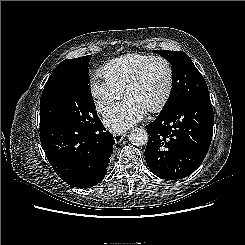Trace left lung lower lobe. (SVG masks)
Instances as JSON below:
<instances>
[{"label": "left lung lower lobe", "instance_id": "left-lung-lower-lobe-1", "mask_svg": "<svg viewBox=\"0 0 245 245\" xmlns=\"http://www.w3.org/2000/svg\"><path fill=\"white\" fill-rule=\"evenodd\" d=\"M213 124L209 94L195 95L172 112L159 114L146 126L145 159L152 173L167 180L193 173L209 150Z\"/></svg>", "mask_w": 245, "mask_h": 245}]
</instances>
